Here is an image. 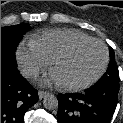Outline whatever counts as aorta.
<instances>
[{
  "mask_svg": "<svg viewBox=\"0 0 123 123\" xmlns=\"http://www.w3.org/2000/svg\"><path fill=\"white\" fill-rule=\"evenodd\" d=\"M43 106L48 110H54L58 107L57 97L53 94H46L43 98Z\"/></svg>",
  "mask_w": 123,
  "mask_h": 123,
  "instance_id": "1",
  "label": "aorta"
}]
</instances>
